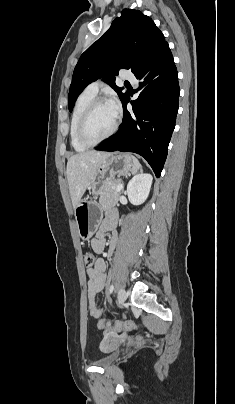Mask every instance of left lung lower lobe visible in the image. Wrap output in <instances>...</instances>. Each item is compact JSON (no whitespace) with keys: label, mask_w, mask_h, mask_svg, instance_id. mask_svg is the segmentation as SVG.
Instances as JSON below:
<instances>
[{"label":"left lung lower lobe","mask_w":235,"mask_h":404,"mask_svg":"<svg viewBox=\"0 0 235 404\" xmlns=\"http://www.w3.org/2000/svg\"><path fill=\"white\" fill-rule=\"evenodd\" d=\"M134 74L140 80L137 89L140 94L131 102L133 112L126 108L130 101L128 95L122 102L124 117L119 130L96 150L137 153L159 177L175 127L180 92L168 43Z\"/></svg>","instance_id":"left-lung-lower-lobe-1"}]
</instances>
